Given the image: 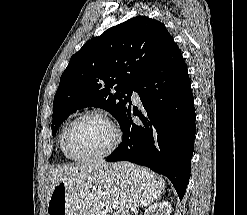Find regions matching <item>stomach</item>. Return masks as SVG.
Instances as JSON below:
<instances>
[{"label": "stomach", "mask_w": 247, "mask_h": 215, "mask_svg": "<svg viewBox=\"0 0 247 215\" xmlns=\"http://www.w3.org/2000/svg\"><path fill=\"white\" fill-rule=\"evenodd\" d=\"M163 189L164 181L145 168L110 164L80 186L59 182L47 202V215H108L147 206Z\"/></svg>", "instance_id": "0dacf381"}]
</instances>
